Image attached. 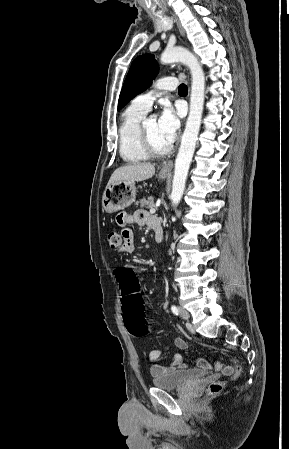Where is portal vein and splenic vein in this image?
Instances as JSON below:
<instances>
[{
    "mask_svg": "<svg viewBox=\"0 0 289 449\" xmlns=\"http://www.w3.org/2000/svg\"><path fill=\"white\" fill-rule=\"evenodd\" d=\"M155 212H156V208H155V207H152V208L150 209V213L153 214V213H155Z\"/></svg>",
    "mask_w": 289,
    "mask_h": 449,
    "instance_id": "18ae733b",
    "label": "portal vein and splenic vein"
}]
</instances>
